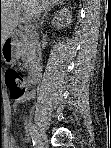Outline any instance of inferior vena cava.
<instances>
[{
    "mask_svg": "<svg viewBox=\"0 0 111 148\" xmlns=\"http://www.w3.org/2000/svg\"><path fill=\"white\" fill-rule=\"evenodd\" d=\"M43 10H47L48 9V3H45V5L42 6ZM42 9L39 8L34 17H37V19H39L40 15H41ZM33 49L35 51L39 50V35L36 31H34L33 33Z\"/></svg>",
    "mask_w": 111,
    "mask_h": 148,
    "instance_id": "inferior-vena-cava-1",
    "label": "inferior vena cava"
}]
</instances>
